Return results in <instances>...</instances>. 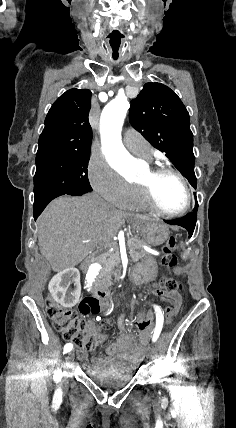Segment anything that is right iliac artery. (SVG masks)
Segmentation results:
<instances>
[{
    "label": "right iliac artery",
    "instance_id": "right-iliac-artery-1",
    "mask_svg": "<svg viewBox=\"0 0 236 428\" xmlns=\"http://www.w3.org/2000/svg\"><path fill=\"white\" fill-rule=\"evenodd\" d=\"M72 348H73V345H72L71 343H67V344L64 346L63 354H66V353L70 352V351L72 350ZM55 373H59V374H61V373H62V371H61V369L57 368V370L55 371Z\"/></svg>",
    "mask_w": 236,
    "mask_h": 428
}]
</instances>
